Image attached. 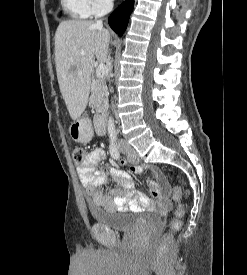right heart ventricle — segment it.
Instances as JSON below:
<instances>
[{"mask_svg": "<svg viewBox=\"0 0 247 275\" xmlns=\"http://www.w3.org/2000/svg\"><path fill=\"white\" fill-rule=\"evenodd\" d=\"M61 5L72 18L88 19L93 16L90 0H61Z\"/></svg>", "mask_w": 247, "mask_h": 275, "instance_id": "1", "label": "right heart ventricle"}]
</instances>
